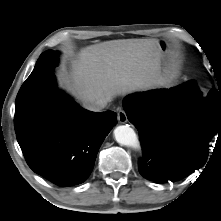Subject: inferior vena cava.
I'll return each instance as SVG.
<instances>
[{"label":"inferior vena cava","instance_id":"1","mask_svg":"<svg viewBox=\"0 0 221 221\" xmlns=\"http://www.w3.org/2000/svg\"><path fill=\"white\" fill-rule=\"evenodd\" d=\"M110 102V99L107 97H102L100 99H97L95 101L85 103L84 107L90 111L99 112L107 107L108 103Z\"/></svg>","mask_w":221,"mask_h":221}]
</instances>
